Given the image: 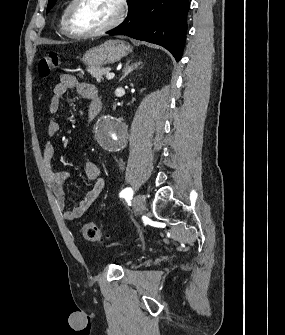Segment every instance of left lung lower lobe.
<instances>
[{
    "mask_svg": "<svg viewBox=\"0 0 285 335\" xmlns=\"http://www.w3.org/2000/svg\"><path fill=\"white\" fill-rule=\"evenodd\" d=\"M128 6L127 18L109 35H127L161 45L179 61L186 38L189 1L128 0Z\"/></svg>",
    "mask_w": 285,
    "mask_h": 335,
    "instance_id": "left-lung-lower-lobe-1",
    "label": "left lung lower lobe"
}]
</instances>
